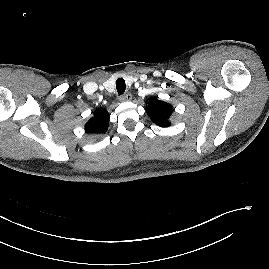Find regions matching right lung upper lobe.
<instances>
[{
  "label": "right lung upper lobe",
  "mask_w": 269,
  "mask_h": 269,
  "mask_svg": "<svg viewBox=\"0 0 269 269\" xmlns=\"http://www.w3.org/2000/svg\"><path fill=\"white\" fill-rule=\"evenodd\" d=\"M109 113L105 109L94 111V116L85 124V131L92 134L105 133L109 126Z\"/></svg>",
  "instance_id": "cb5924a9"
}]
</instances>
